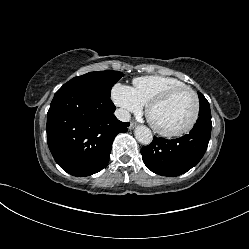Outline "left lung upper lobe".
Wrapping results in <instances>:
<instances>
[{"mask_svg":"<svg viewBox=\"0 0 249 249\" xmlns=\"http://www.w3.org/2000/svg\"><path fill=\"white\" fill-rule=\"evenodd\" d=\"M198 96H199V101H200L199 116L211 115L209 103L204 97V95L198 92Z\"/></svg>","mask_w":249,"mask_h":249,"instance_id":"1","label":"left lung upper lobe"}]
</instances>
